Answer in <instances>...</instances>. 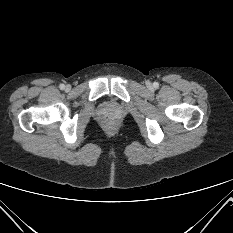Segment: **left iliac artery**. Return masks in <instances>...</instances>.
Segmentation results:
<instances>
[{
  "mask_svg": "<svg viewBox=\"0 0 233 233\" xmlns=\"http://www.w3.org/2000/svg\"><path fill=\"white\" fill-rule=\"evenodd\" d=\"M153 85H154L155 88H157L159 84L157 82H154Z\"/></svg>",
  "mask_w": 233,
  "mask_h": 233,
  "instance_id": "left-iliac-artery-1",
  "label": "left iliac artery"
}]
</instances>
